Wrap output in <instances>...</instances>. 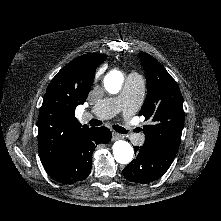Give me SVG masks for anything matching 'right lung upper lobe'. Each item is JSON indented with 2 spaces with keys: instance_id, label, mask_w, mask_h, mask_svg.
I'll return each instance as SVG.
<instances>
[{
  "instance_id": "cb5924a9",
  "label": "right lung upper lobe",
  "mask_w": 221,
  "mask_h": 221,
  "mask_svg": "<svg viewBox=\"0 0 221 221\" xmlns=\"http://www.w3.org/2000/svg\"><path fill=\"white\" fill-rule=\"evenodd\" d=\"M106 54H85L63 67L50 82L38 117V146L41 162L53 176L63 162L69 145L82 126L75 109L83 104L94 80L97 66Z\"/></svg>"
}]
</instances>
